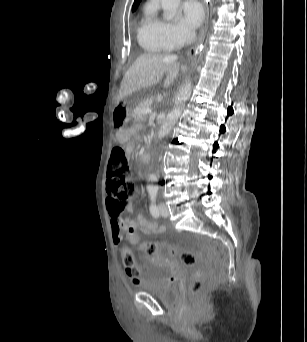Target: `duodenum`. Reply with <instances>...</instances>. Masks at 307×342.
I'll return each instance as SVG.
<instances>
[{
  "label": "duodenum",
  "instance_id": "duodenum-1",
  "mask_svg": "<svg viewBox=\"0 0 307 342\" xmlns=\"http://www.w3.org/2000/svg\"><path fill=\"white\" fill-rule=\"evenodd\" d=\"M140 161L143 165L149 161V156L147 155L146 152L141 153Z\"/></svg>",
  "mask_w": 307,
  "mask_h": 342
}]
</instances>
